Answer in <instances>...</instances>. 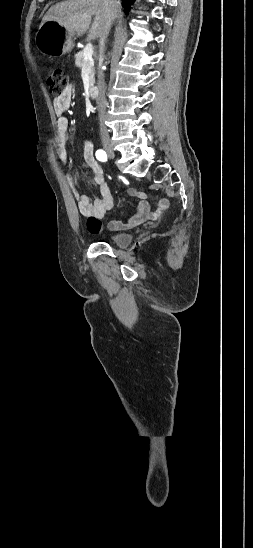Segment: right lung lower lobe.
<instances>
[{
  "label": "right lung lower lobe",
  "mask_w": 253,
  "mask_h": 548,
  "mask_svg": "<svg viewBox=\"0 0 253 548\" xmlns=\"http://www.w3.org/2000/svg\"><path fill=\"white\" fill-rule=\"evenodd\" d=\"M124 5L129 8L130 5L134 2V0H122Z\"/></svg>",
  "instance_id": "obj_1"
}]
</instances>
